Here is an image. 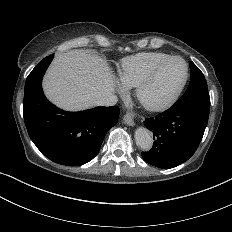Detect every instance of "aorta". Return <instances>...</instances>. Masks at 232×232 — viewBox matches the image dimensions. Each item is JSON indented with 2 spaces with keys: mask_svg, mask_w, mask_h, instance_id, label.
Instances as JSON below:
<instances>
[{
  "mask_svg": "<svg viewBox=\"0 0 232 232\" xmlns=\"http://www.w3.org/2000/svg\"><path fill=\"white\" fill-rule=\"evenodd\" d=\"M135 142L143 151H149L153 145L152 133L145 127H139L135 131Z\"/></svg>",
  "mask_w": 232,
  "mask_h": 232,
  "instance_id": "aorta-1",
  "label": "aorta"
}]
</instances>
